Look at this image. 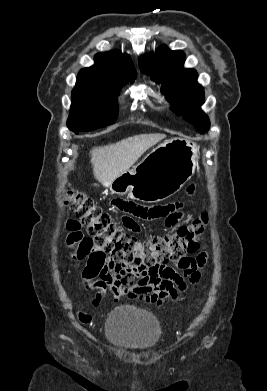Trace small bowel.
Segmentation results:
<instances>
[{
    "label": "small bowel",
    "instance_id": "1",
    "mask_svg": "<svg viewBox=\"0 0 267 391\" xmlns=\"http://www.w3.org/2000/svg\"><path fill=\"white\" fill-rule=\"evenodd\" d=\"M193 187L188 188L192 192ZM112 207L123 213L122 223L134 233L140 232V226L134 218L145 220L163 219L166 228L177 225L183 216L180 202H173L164 205L144 207L131 201L114 200ZM68 236L67 245L73 249V259L82 260L87 258V265L83 277L87 285L99 289L94 298V305L97 306L102 298L103 291L108 289L113 298L127 296L139 298L146 302L162 305L168 299L175 300L179 294L186 290L187 282L196 283L201 277L200 270L203 268L207 253L202 252L196 257L184 258L175 268L164 266L158 271L149 272L139 266H126L118 263L104 254L97 252L88 254L83 252L74 242L75 238L82 237L80 224L76 220H69L66 224ZM82 322H89L90 316L79 313Z\"/></svg>",
    "mask_w": 267,
    "mask_h": 391
}]
</instances>
